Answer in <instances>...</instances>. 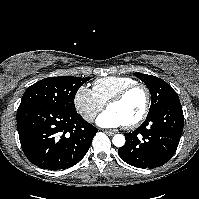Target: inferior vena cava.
<instances>
[{"label":"inferior vena cava","mask_w":199,"mask_h":199,"mask_svg":"<svg viewBox=\"0 0 199 199\" xmlns=\"http://www.w3.org/2000/svg\"><path fill=\"white\" fill-rule=\"evenodd\" d=\"M85 118L87 121H92L95 118V113H89Z\"/></svg>","instance_id":"1"}]
</instances>
